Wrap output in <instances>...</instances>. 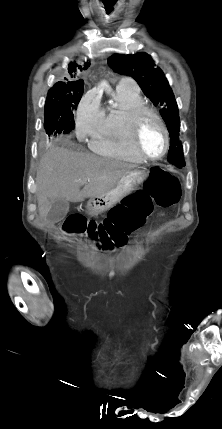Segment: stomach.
Masks as SVG:
<instances>
[{
  "mask_svg": "<svg viewBox=\"0 0 222 429\" xmlns=\"http://www.w3.org/2000/svg\"><path fill=\"white\" fill-rule=\"evenodd\" d=\"M145 169H134L122 176L118 183L108 192L93 197L88 201L90 214L97 215L107 211L120 200L136 190L146 179Z\"/></svg>",
  "mask_w": 222,
  "mask_h": 429,
  "instance_id": "0dacf381",
  "label": "stomach"
}]
</instances>
